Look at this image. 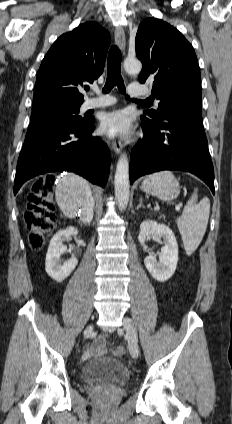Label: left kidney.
<instances>
[{
	"label": "left kidney",
	"instance_id": "1",
	"mask_svg": "<svg viewBox=\"0 0 232 424\" xmlns=\"http://www.w3.org/2000/svg\"><path fill=\"white\" fill-rule=\"evenodd\" d=\"M147 236L163 238L164 246L159 255V261L149 254L144 264L151 276L159 282L167 281L174 274L178 261V245L173 231L165 224L153 220L143 221L140 225L138 240L144 245Z\"/></svg>",
	"mask_w": 232,
	"mask_h": 424
}]
</instances>
